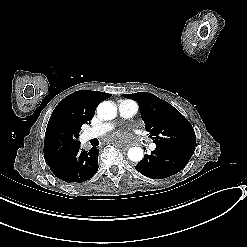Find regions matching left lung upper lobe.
Here are the masks:
<instances>
[{
	"instance_id": "1",
	"label": "left lung upper lobe",
	"mask_w": 247,
	"mask_h": 247,
	"mask_svg": "<svg viewBox=\"0 0 247 247\" xmlns=\"http://www.w3.org/2000/svg\"><path fill=\"white\" fill-rule=\"evenodd\" d=\"M122 96L138 102L145 129L157 147L175 148L193 155L196 136L192 125L171 104L149 92Z\"/></svg>"
}]
</instances>
